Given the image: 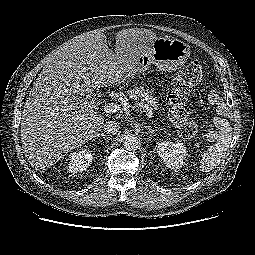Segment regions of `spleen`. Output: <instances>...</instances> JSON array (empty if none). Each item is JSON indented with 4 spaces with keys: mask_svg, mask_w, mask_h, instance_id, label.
Listing matches in <instances>:
<instances>
[{
    "mask_svg": "<svg viewBox=\"0 0 255 255\" xmlns=\"http://www.w3.org/2000/svg\"><path fill=\"white\" fill-rule=\"evenodd\" d=\"M217 125L220 130L217 140L203 153L200 161L202 172H209L218 166L229 149L232 139L230 123L226 119H219Z\"/></svg>",
    "mask_w": 255,
    "mask_h": 255,
    "instance_id": "obj_1",
    "label": "spleen"
}]
</instances>
